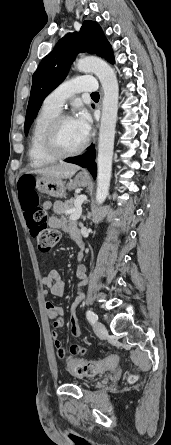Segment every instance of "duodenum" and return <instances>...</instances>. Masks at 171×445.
I'll list each match as a JSON object with an SVG mask.
<instances>
[{
	"mask_svg": "<svg viewBox=\"0 0 171 445\" xmlns=\"http://www.w3.org/2000/svg\"><path fill=\"white\" fill-rule=\"evenodd\" d=\"M74 239H75V242H76V244L80 247V248H82L83 246H84V243H83V240H82V238H81V236L79 235V236H74Z\"/></svg>",
	"mask_w": 171,
	"mask_h": 445,
	"instance_id": "1",
	"label": "duodenum"
}]
</instances>
